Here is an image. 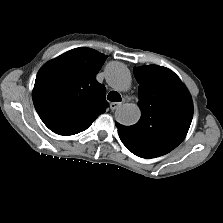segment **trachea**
Listing matches in <instances>:
<instances>
[{
	"label": "trachea",
	"mask_w": 223,
	"mask_h": 223,
	"mask_svg": "<svg viewBox=\"0 0 223 223\" xmlns=\"http://www.w3.org/2000/svg\"><path fill=\"white\" fill-rule=\"evenodd\" d=\"M107 99L111 102H121V96L118 92L116 91H111L108 96Z\"/></svg>",
	"instance_id": "3493384b"
}]
</instances>
